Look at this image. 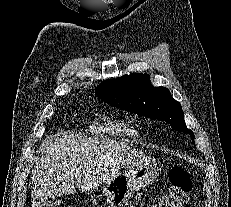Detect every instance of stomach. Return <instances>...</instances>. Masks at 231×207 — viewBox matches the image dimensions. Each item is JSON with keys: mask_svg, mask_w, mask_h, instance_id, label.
<instances>
[{"mask_svg": "<svg viewBox=\"0 0 231 207\" xmlns=\"http://www.w3.org/2000/svg\"><path fill=\"white\" fill-rule=\"evenodd\" d=\"M159 170L154 158L142 156L131 162L126 170L113 174L102 187L108 207H123L136 191L155 180Z\"/></svg>", "mask_w": 231, "mask_h": 207, "instance_id": "obj_1", "label": "stomach"}]
</instances>
